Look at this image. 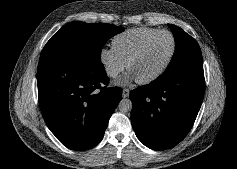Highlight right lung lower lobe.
I'll use <instances>...</instances> for the list:
<instances>
[{
    "instance_id": "obj_1",
    "label": "right lung lower lobe",
    "mask_w": 237,
    "mask_h": 169,
    "mask_svg": "<svg viewBox=\"0 0 237 169\" xmlns=\"http://www.w3.org/2000/svg\"><path fill=\"white\" fill-rule=\"evenodd\" d=\"M108 82L102 63L39 60L41 113L63 145L83 151L102 140L109 118L122 97L121 88L102 87Z\"/></svg>"
}]
</instances>
